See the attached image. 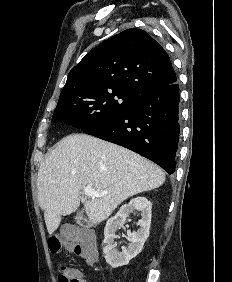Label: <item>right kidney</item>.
<instances>
[{
  "label": "right kidney",
  "instance_id": "ca27d5eb",
  "mask_svg": "<svg viewBox=\"0 0 232 282\" xmlns=\"http://www.w3.org/2000/svg\"><path fill=\"white\" fill-rule=\"evenodd\" d=\"M151 209L152 204L145 197H137L132 199L128 204L123 205L120 210L111 217L104 229V248L106 262L112 268H118L127 265L131 259L136 257L142 250L146 239L149 236L151 225ZM139 211L141 219L139 220L140 228L137 232H127L130 243L126 249L119 252L116 249L115 232L122 228L130 213Z\"/></svg>",
  "mask_w": 232,
  "mask_h": 282
}]
</instances>
